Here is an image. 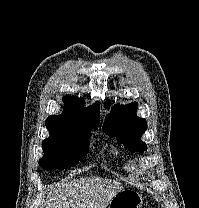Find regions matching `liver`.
Listing matches in <instances>:
<instances>
[{"label": "liver", "mask_w": 199, "mask_h": 208, "mask_svg": "<svg viewBox=\"0 0 199 208\" xmlns=\"http://www.w3.org/2000/svg\"><path fill=\"white\" fill-rule=\"evenodd\" d=\"M123 189L119 181L99 176L81 177L57 184L49 193L46 208H107Z\"/></svg>", "instance_id": "obj_1"}]
</instances>
